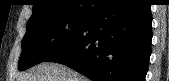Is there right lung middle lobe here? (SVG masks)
<instances>
[{
    "instance_id": "obj_1",
    "label": "right lung middle lobe",
    "mask_w": 169,
    "mask_h": 81,
    "mask_svg": "<svg viewBox=\"0 0 169 81\" xmlns=\"http://www.w3.org/2000/svg\"><path fill=\"white\" fill-rule=\"evenodd\" d=\"M86 16H52L27 23L19 70L24 71L68 44L85 26Z\"/></svg>"
}]
</instances>
